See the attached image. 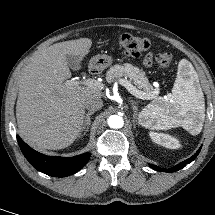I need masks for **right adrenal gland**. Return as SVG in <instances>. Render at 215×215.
Segmentation results:
<instances>
[{
  "mask_svg": "<svg viewBox=\"0 0 215 215\" xmlns=\"http://www.w3.org/2000/svg\"><path fill=\"white\" fill-rule=\"evenodd\" d=\"M94 114V112H88L85 116V120H84V125H83V128H82V131L85 130L87 131L88 129V125H90V117L91 115Z\"/></svg>",
  "mask_w": 215,
  "mask_h": 215,
  "instance_id": "right-adrenal-gland-1",
  "label": "right adrenal gland"
}]
</instances>
